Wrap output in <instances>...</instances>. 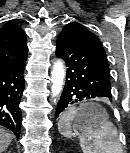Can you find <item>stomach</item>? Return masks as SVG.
<instances>
[{"instance_id": "1", "label": "stomach", "mask_w": 130, "mask_h": 153, "mask_svg": "<svg viewBox=\"0 0 130 153\" xmlns=\"http://www.w3.org/2000/svg\"><path fill=\"white\" fill-rule=\"evenodd\" d=\"M79 112L73 119V126L83 127H98L102 122L108 120V115L105 110L95 103H84L79 107Z\"/></svg>"}]
</instances>
